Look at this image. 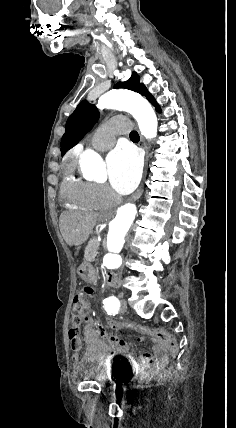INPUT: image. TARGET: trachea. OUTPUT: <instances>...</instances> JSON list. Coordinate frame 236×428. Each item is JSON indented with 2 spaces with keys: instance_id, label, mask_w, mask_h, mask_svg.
Here are the masks:
<instances>
[{
  "instance_id": "obj_1",
  "label": "trachea",
  "mask_w": 236,
  "mask_h": 428,
  "mask_svg": "<svg viewBox=\"0 0 236 428\" xmlns=\"http://www.w3.org/2000/svg\"><path fill=\"white\" fill-rule=\"evenodd\" d=\"M130 138H131V140H139L140 137H139L137 131H132L130 133Z\"/></svg>"
}]
</instances>
